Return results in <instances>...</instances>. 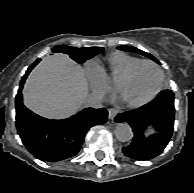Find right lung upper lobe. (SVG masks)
I'll return each instance as SVG.
<instances>
[{"instance_id":"obj_1","label":"right lung upper lobe","mask_w":194,"mask_h":193,"mask_svg":"<svg viewBox=\"0 0 194 193\" xmlns=\"http://www.w3.org/2000/svg\"><path fill=\"white\" fill-rule=\"evenodd\" d=\"M40 61V59H38V60H36L32 65H31V68L33 69L36 65H37V63Z\"/></svg>"}]
</instances>
